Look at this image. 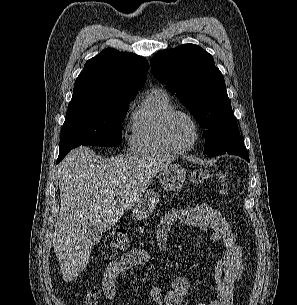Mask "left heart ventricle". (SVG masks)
<instances>
[{
    "label": "left heart ventricle",
    "instance_id": "b2bd125f",
    "mask_svg": "<svg viewBox=\"0 0 297 305\" xmlns=\"http://www.w3.org/2000/svg\"><path fill=\"white\" fill-rule=\"evenodd\" d=\"M172 141L179 147L188 146L194 139V128L184 116H176L169 127Z\"/></svg>",
    "mask_w": 297,
    "mask_h": 305
}]
</instances>
